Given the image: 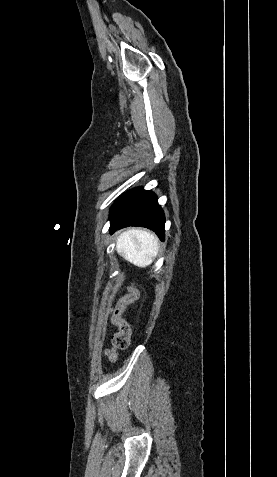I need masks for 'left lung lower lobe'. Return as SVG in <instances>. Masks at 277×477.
<instances>
[{"instance_id": "left-lung-lower-lobe-1", "label": "left lung lower lobe", "mask_w": 277, "mask_h": 477, "mask_svg": "<svg viewBox=\"0 0 277 477\" xmlns=\"http://www.w3.org/2000/svg\"><path fill=\"white\" fill-rule=\"evenodd\" d=\"M110 233L127 226H141L153 230L164 241L165 216L151 191L142 187L129 190L111 207Z\"/></svg>"}]
</instances>
